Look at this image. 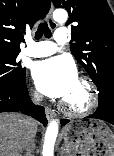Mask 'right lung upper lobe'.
Listing matches in <instances>:
<instances>
[{"mask_svg":"<svg viewBox=\"0 0 114 156\" xmlns=\"http://www.w3.org/2000/svg\"><path fill=\"white\" fill-rule=\"evenodd\" d=\"M50 0H0V52H20L26 28L49 12Z\"/></svg>","mask_w":114,"mask_h":156,"instance_id":"obj_1","label":"right lung upper lobe"}]
</instances>
